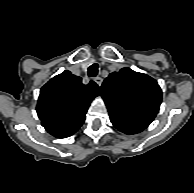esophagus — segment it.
<instances>
[{
    "instance_id": "34e87169",
    "label": "esophagus",
    "mask_w": 194,
    "mask_h": 193,
    "mask_svg": "<svg viewBox=\"0 0 194 193\" xmlns=\"http://www.w3.org/2000/svg\"><path fill=\"white\" fill-rule=\"evenodd\" d=\"M95 82L97 83V85L100 87L102 85L103 79L101 77H96L95 78Z\"/></svg>"
}]
</instances>
